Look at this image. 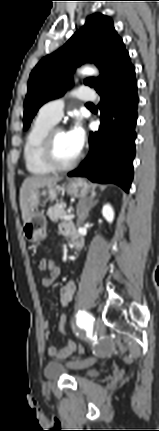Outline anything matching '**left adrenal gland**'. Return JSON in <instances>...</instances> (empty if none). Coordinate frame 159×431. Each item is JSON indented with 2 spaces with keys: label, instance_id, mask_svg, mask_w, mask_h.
I'll return each mask as SVG.
<instances>
[{
  "label": "left adrenal gland",
  "instance_id": "left-adrenal-gland-1",
  "mask_svg": "<svg viewBox=\"0 0 159 431\" xmlns=\"http://www.w3.org/2000/svg\"><path fill=\"white\" fill-rule=\"evenodd\" d=\"M98 203V200H94V196L88 198V200L83 201L80 200L77 204V215L78 222L77 224H82L86 218L89 216V211Z\"/></svg>",
  "mask_w": 159,
  "mask_h": 431
}]
</instances>
